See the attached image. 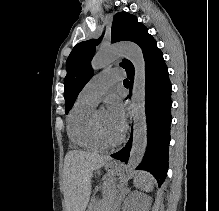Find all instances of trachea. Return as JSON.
<instances>
[{
    "label": "trachea",
    "instance_id": "trachea-1",
    "mask_svg": "<svg viewBox=\"0 0 219 211\" xmlns=\"http://www.w3.org/2000/svg\"><path fill=\"white\" fill-rule=\"evenodd\" d=\"M123 83L124 84H129V80L125 79Z\"/></svg>",
    "mask_w": 219,
    "mask_h": 211
}]
</instances>
